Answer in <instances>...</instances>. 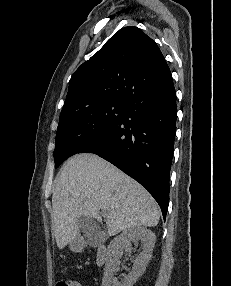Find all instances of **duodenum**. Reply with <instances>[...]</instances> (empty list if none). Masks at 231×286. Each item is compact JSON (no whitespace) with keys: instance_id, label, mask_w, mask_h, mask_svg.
Returning a JSON list of instances; mask_svg holds the SVG:
<instances>
[{"instance_id":"duodenum-1","label":"duodenum","mask_w":231,"mask_h":286,"mask_svg":"<svg viewBox=\"0 0 231 286\" xmlns=\"http://www.w3.org/2000/svg\"><path fill=\"white\" fill-rule=\"evenodd\" d=\"M97 248L96 263L103 266L107 260L108 251L105 245L99 243H92Z\"/></svg>"}]
</instances>
